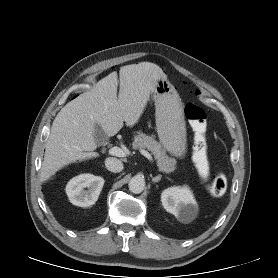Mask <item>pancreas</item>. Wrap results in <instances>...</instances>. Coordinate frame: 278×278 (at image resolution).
Returning <instances> with one entry per match:
<instances>
[{"label":"pancreas","mask_w":278,"mask_h":278,"mask_svg":"<svg viewBox=\"0 0 278 278\" xmlns=\"http://www.w3.org/2000/svg\"><path fill=\"white\" fill-rule=\"evenodd\" d=\"M134 149H148L157 160L159 171L171 173L176 169V161L174 158L166 154L162 145L157 142L153 136H148L142 132H137L132 144Z\"/></svg>","instance_id":"obj_1"}]
</instances>
